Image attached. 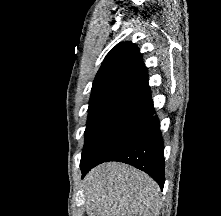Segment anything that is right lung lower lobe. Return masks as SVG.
Here are the masks:
<instances>
[{
    "mask_svg": "<svg viewBox=\"0 0 221 216\" xmlns=\"http://www.w3.org/2000/svg\"><path fill=\"white\" fill-rule=\"evenodd\" d=\"M155 112L145 131L133 142L113 153L107 160L130 164L150 175L163 189L165 179L164 145ZM100 164V163H99ZM98 164L81 166L82 178Z\"/></svg>",
    "mask_w": 221,
    "mask_h": 216,
    "instance_id": "obj_1",
    "label": "right lung lower lobe"
}]
</instances>
